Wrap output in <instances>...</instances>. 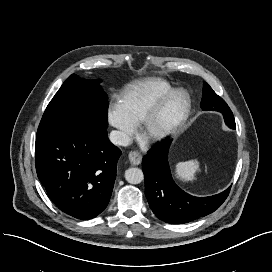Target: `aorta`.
I'll return each mask as SVG.
<instances>
[{
  "label": "aorta",
  "mask_w": 272,
  "mask_h": 272,
  "mask_svg": "<svg viewBox=\"0 0 272 272\" xmlns=\"http://www.w3.org/2000/svg\"><path fill=\"white\" fill-rule=\"evenodd\" d=\"M125 179L130 184H139L143 181L144 175L139 168H129L125 171Z\"/></svg>",
  "instance_id": "1"
}]
</instances>
